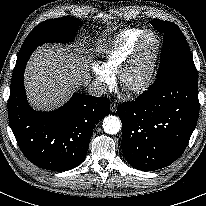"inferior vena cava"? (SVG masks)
Returning a JSON list of instances; mask_svg holds the SVG:
<instances>
[{"label":"inferior vena cava","mask_w":206,"mask_h":206,"mask_svg":"<svg viewBox=\"0 0 206 206\" xmlns=\"http://www.w3.org/2000/svg\"><path fill=\"white\" fill-rule=\"evenodd\" d=\"M88 93L92 96H103L107 93V86L104 83L94 81L88 85Z\"/></svg>","instance_id":"inferior-vena-cava-1"}]
</instances>
